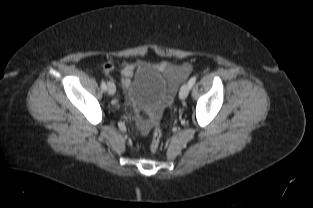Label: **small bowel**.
<instances>
[{
	"label": "small bowel",
	"instance_id": "1",
	"mask_svg": "<svg viewBox=\"0 0 313 208\" xmlns=\"http://www.w3.org/2000/svg\"><path fill=\"white\" fill-rule=\"evenodd\" d=\"M156 68L162 72H164L168 78L170 79L173 85H177L183 78H185L191 71V66L189 64H183L179 67H176L168 62H162L156 65ZM114 66L111 63H106L103 66V71L106 74L113 72ZM134 71L133 65L124 66L121 71V82L123 85H127L129 83L130 77Z\"/></svg>",
	"mask_w": 313,
	"mask_h": 208
}]
</instances>
